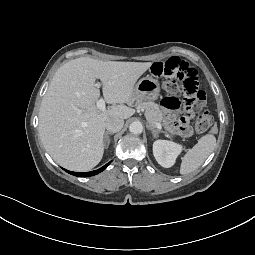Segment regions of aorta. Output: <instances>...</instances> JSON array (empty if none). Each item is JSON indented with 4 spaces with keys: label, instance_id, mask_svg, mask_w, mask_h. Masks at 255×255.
I'll return each mask as SVG.
<instances>
[{
    "label": "aorta",
    "instance_id": "1",
    "mask_svg": "<svg viewBox=\"0 0 255 255\" xmlns=\"http://www.w3.org/2000/svg\"><path fill=\"white\" fill-rule=\"evenodd\" d=\"M129 131L133 134H141L143 126L140 122H132L129 126Z\"/></svg>",
    "mask_w": 255,
    "mask_h": 255
}]
</instances>
